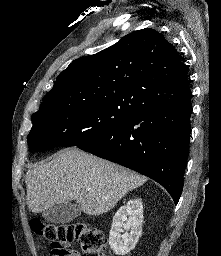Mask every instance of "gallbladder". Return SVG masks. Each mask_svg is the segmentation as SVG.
I'll list each match as a JSON object with an SVG mask.
<instances>
[{"label": "gallbladder", "instance_id": "1", "mask_svg": "<svg viewBox=\"0 0 221 256\" xmlns=\"http://www.w3.org/2000/svg\"><path fill=\"white\" fill-rule=\"evenodd\" d=\"M80 214L81 209L79 205L68 202L50 207L43 213V217L45 220L53 223L65 224L74 220Z\"/></svg>", "mask_w": 221, "mask_h": 256}]
</instances>
